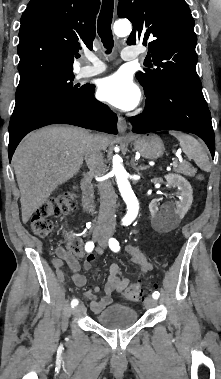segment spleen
Returning a JSON list of instances; mask_svg holds the SVG:
<instances>
[{
	"label": "spleen",
	"mask_w": 221,
	"mask_h": 379,
	"mask_svg": "<svg viewBox=\"0 0 221 379\" xmlns=\"http://www.w3.org/2000/svg\"><path fill=\"white\" fill-rule=\"evenodd\" d=\"M172 135L178 139L183 152L189 160H194L201 170L205 172L210 171L211 166L208 155L205 148L198 142V140L181 132H172Z\"/></svg>",
	"instance_id": "1"
}]
</instances>
